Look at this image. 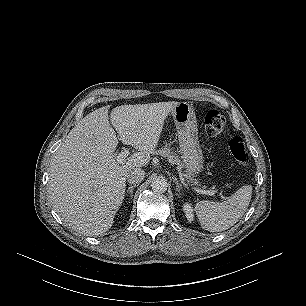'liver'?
Returning a JSON list of instances; mask_svg holds the SVG:
<instances>
[{"label":"liver","instance_id":"liver-1","mask_svg":"<svg viewBox=\"0 0 306 306\" xmlns=\"http://www.w3.org/2000/svg\"><path fill=\"white\" fill-rule=\"evenodd\" d=\"M179 102L108 106L85 116L69 132L52 160L48 194L53 208L74 229L88 236L108 231L124 199L129 171L144 167L155 152L164 121ZM138 152L120 164L118 139Z\"/></svg>","mask_w":306,"mask_h":306}]
</instances>
